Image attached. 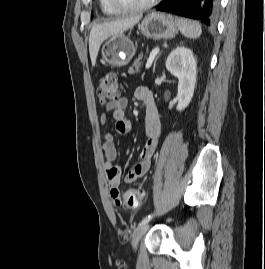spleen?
<instances>
[{
	"mask_svg": "<svg viewBox=\"0 0 265 269\" xmlns=\"http://www.w3.org/2000/svg\"><path fill=\"white\" fill-rule=\"evenodd\" d=\"M178 29L187 38L196 39L201 36L202 28L197 21L176 17Z\"/></svg>",
	"mask_w": 265,
	"mask_h": 269,
	"instance_id": "3e777b00",
	"label": "spleen"
}]
</instances>
